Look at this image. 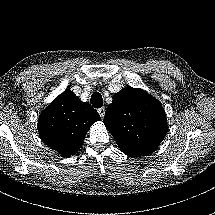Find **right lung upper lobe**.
<instances>
[{"mask_svg":"<svg viewBox=\"0 0 215 215\" xmlns=\"http://www.w3.org/2000/svg\"><path fill=\"white\" fill-rule=\"evenodd\" d=\"M99 120L89 103L66 90L41 112L37 128L47 146L68 157L81 148L91 125Z\"/></svg>","mask_w":215,"mask_h":215,"instance_id":"cb5924a9","label":"right lung upper lobe"}]
</instances>
